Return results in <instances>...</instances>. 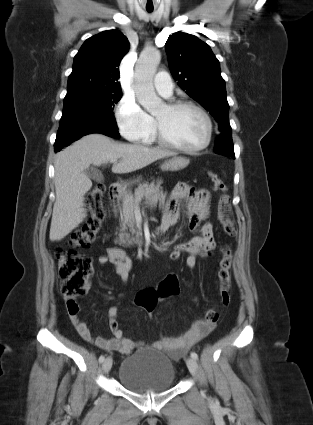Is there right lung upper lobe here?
Returning <instances> with one entry per match:
<instances>
[{
  "label": "right lung upper lobe",
  "instance_id": "1",
  "mask_svg": "<svg viewBox=\"0 0 313 425\" xmlns=\"http://www.w3.org/2000/svg\"><path fill=\"white\" fill-rule=\"evenodd\" d=\"M128 39L117 30L87 39L74 57L67 94L78 91H121L118 66L129 51Z\"/></svg>",
  "mask_w": 313,
  "mask_h": 425
}]
</instances>
